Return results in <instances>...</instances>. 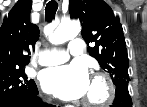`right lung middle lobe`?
<instances>
[{
    "label": "right lung middle lobe",
    "instance_id": "obj_1",
    "mask_svg": "<svg viewBox=\"0 0 147 107\" xmlns=\"http://www.w3.org/2000/svg\"><path fill=\"white\" fill-rule=\"evenodd\" d=\"M23 66L0 72V105L7 101L37 91L34 80L27 79Z\"/></svg>",
    "mask_w": 147,
    "mask_h": 107
}]
</instances>
